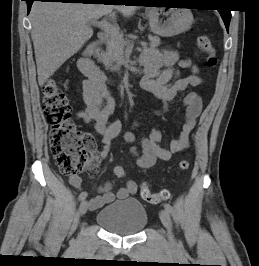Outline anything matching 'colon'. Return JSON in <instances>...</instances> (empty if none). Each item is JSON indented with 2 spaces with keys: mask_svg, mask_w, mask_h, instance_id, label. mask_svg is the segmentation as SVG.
I'll return each mask as SVG.
<instances>
[{
  "mask_svg": "<svg viewBox=\"0 0 259 266\" xmlns=\"http://www.w3.org/2000/svg\"><path fill=\"white\" fill-rule=\"evenodd\" d=\"M198 48L207 55L210 66L217 64L215 49L206 35L197 38ZM42 108L45 118L50 125L49 144L55 163L63 174L76 175L88 163L87 149L93 145L92 137L77 129L71 116V105L63 88L54 80H49L42 89ZM181 170L189 168L187 160L179 162ZM118 178L125 176L122 166L114 168ZM141 197L144 201L157 205L169 198V192L162 190L153 193L148 184L141 186Z\"/></svg>",
  "mask_w": 259,
  "mask_h": 266,
  "instance_id": "colon-1",
  "label": "colon"
}]
</instances>
